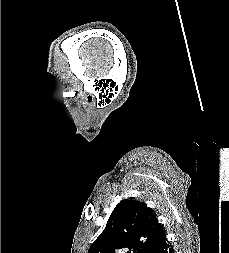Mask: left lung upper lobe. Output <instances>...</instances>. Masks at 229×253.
<instances>
[{"label":"left lung upper lobe","instance_id":"5c2ea615","mask_svg":"<svg viewBox=\"0 0 229 253\" xmlns=\"http://www.w3.org/2000/svg\"><path fill=\"white\" fill-rule=\"evenodd\" d=\"M166 237L163 226L145 203L124 199L112 211L104 231L88 253H154Z\"/></svg>","mask_w":229,"mask_h":253}]
</instances>
